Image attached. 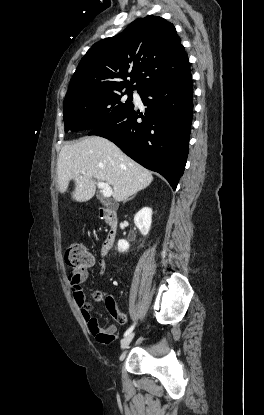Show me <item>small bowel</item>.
Instances as JSON below:
<instances>
[{
	"instance_id": "1",
	"label": "small bowel",
	"mask_w": 264,
	"mask_h": 415,
	"mask_svg": "<svg viewBox=\"0 0 264 415\" xmlns=\"http://www.w3.org/2000/svg\"><path fill=\"white\" fill-rule=\"evenodd\" d=\"M106 263L101 260L98 263L97 273L103 275L105 273ZM88 270L87 268H79L75 272L71 273L69 276L70 289L71 293L78 303L82 306L84 304V293L81 287V284L87 279ZM107 308L110 306V302L107 304ZM85 319L88 322V327L92 335L95 337L97 342L101 345L107 346L110 345L116 339L117 327L115 325H109L107 327H101L97 319L88 315L85 311H82ZM128 321L127 317L124 316L122 324H126Z\"/></svg>"
}]
</instances>
